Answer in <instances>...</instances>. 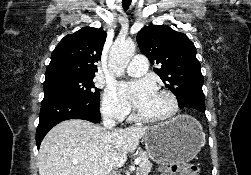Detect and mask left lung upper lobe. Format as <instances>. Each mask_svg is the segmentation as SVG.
Segmentation results:
<instances>
[{
	"label": "left lung upper lobe",
	"instance_id": "obj_1",
	"mask_svg": "<svg viewBox=\"0 0 251 175\" xmlns=\"http://www.w3.org/2000/svg\"><path fill=\"white\" fill-rule=\"evenodd\" d=\"M137 42L151 64H160L154 72L179 103L205 104L204 79L196 48L185 34L165 25H150L138 32Z\"/></svg>",
	"mask_w": 251,
	"mask_h": 175
}]
</instances>
